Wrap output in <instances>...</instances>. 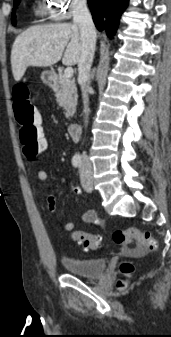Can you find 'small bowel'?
Returning a JSON list of instances; mask_svg holds the SVG:
<instances>
[{
	"label": "small bowel",
	"mask_w": 171,
	"mask_h": 337,
	"mask_svg": "<svg viewBox=\"0 0 171 337\" xmlns=\"http://www.w3.org/2000/svg\"><path fill=\"white\" fill-rule=\"evenodd\" d=\"M48 143V141H47ZM37 177L40 181H46L48 179V173L45 169H39L37 172ZM69 188L73 192V194L77 196H82V191L79 187L70 184ZM56 209V201L53 196L48 198V210L49 212L53 213ZM82 220L86 223L99 225L101 224V219L99 218L98 214L94 210H88L84 212L81 216ZM75 224L73 222H67L61 226V229L65 232L73 231Z\"/></svg>",
	"instance_id": "obj_1"
}]
</instances>
